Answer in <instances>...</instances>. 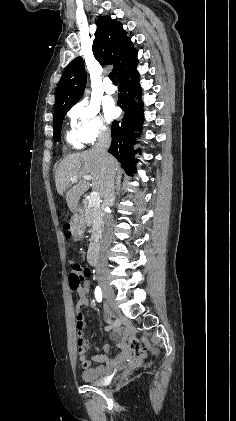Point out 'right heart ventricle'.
I'll list each match as a JSON object with an SVG mask.
<instances>
[{"instance_id":"right-heart-ventricle-1","label":"right heart ventricle","mask_w":236,"mask_h":421,"mask_svg":"<svg viewBox=\"0 0 236 421\" xmlns=\"http://www.w3.org/2000/svg\"><path fill=\"white\" fill-rule=\"evenodd\" d=\"M66 141L70 147L73 149H81L84 147V143L79 139V137L75 134L73 129L68 131L66 134Z\"/></svg>"}]
</instances>
